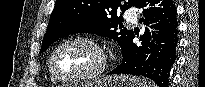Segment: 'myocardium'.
Returning <instances> with one entry per match:
<instances>
[{"label":"myocardium","instance_id":"myocardium-1","mask_svg":"<svg viewBox=\"0 0 205 87\" xmlns=\"http://www.w3.org/2000/svg\"><path fill=\"white\" fill-rule=\"evenodd\" d=\"M73 43H84V44H88L91 47H93L100 56L99 64L94 70L88 73H84L81 75H75V76H63L59 74L55 69V58H56L57 53L63 47L69 44H73ZM105 68H106L105 51L98 41L90 37L78 36V37L69 38L61 42L58 46L55 47V49L52 51L50 58H49V72L51 76L54 79H56L58 82H63V83L85 82V81L94 80L102 75Z\"/></svg>","mask_w":205,"mask_h":87}]
</instances>
